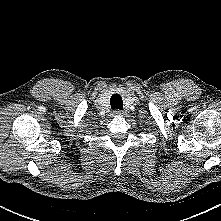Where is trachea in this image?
I'll list each match as a JSON object with an SVG mask.
<instances>
[{"label": "trachea", "instance_id": "obj_1", "mask_svg": "<svg viewBox=\"0 0 221 221\" xmlns=\"http://www.w3.org/2000/svg\"><path fill=\"white\" fill-rule=\"evenodd\" d=\"M110 104L112 109H123L122 97L119 94H114L111 96Z\"/></svg>", "mask_w": 221, "mask_h": 221}]
</instances>
